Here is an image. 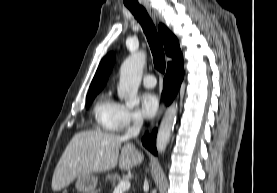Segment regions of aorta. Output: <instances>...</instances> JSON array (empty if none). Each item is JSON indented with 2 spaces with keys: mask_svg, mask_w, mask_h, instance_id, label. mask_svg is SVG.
<instances>
[{
  "mask_svg": "<svg viewBox=\"0 0 277 193\" xmlns=\"http://www.w3.org/2000/svg\"><path fill=\"white\" fill-rule=\"evenodd\" d=\"M145 63L146 54L140 51L131 54L121 65L118 95L125 100L127 107L132 108L139 104L137 92L141 83ZM177 110V103H173L163 116L156 140V147L159 154L165 151L169 143L176 122Z\"/></svg>",
  "mask_w": 277,
  "mask_h": 193,
  "instance_id": "aorta-1",
  "label": "aorta"
}]
</instances>
